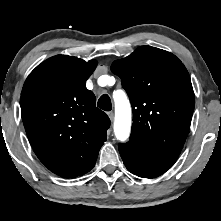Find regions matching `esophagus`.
Wrapping results in <instances>:
<instances>
[{
  "mask_svg": "<svg viewBox=\"0 0 221 221\" xmlns=\"http://www.w3.org/2000/svg\"><path fill=\"white\" fill-rule=\"evenodd\" d=\"M107 115H108L109 119H110L111 121H113V119H114V113H113L112 111H110V112H107Z\"/></svg>",
  "mask_w": 221,
  "mask_h": 221,
  "instance_id": "obj_1",
  "label": "esophagus"
}]
</instances>
